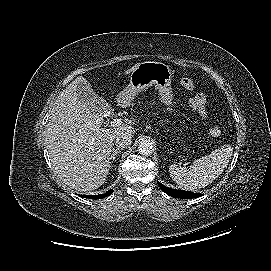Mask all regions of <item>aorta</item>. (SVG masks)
Here are the masks:
<instances>
[{
	"label": "aorta",
	"instance_id": "aorta-1",
	"mask_svg": "<svg viewBox=\"0 0 271 271\" xmlns=\"http://www.w3.org/2000/svg\"><path fill=\"white\" fill-rule=\"evenodd\" d=\"M138 150L140 154L144 156H149L154 151L153 143L150 140H143L139 143Z\"/></svg>",
	"mask_w": 271,
	"mask_h": 271
}]
</instances>
